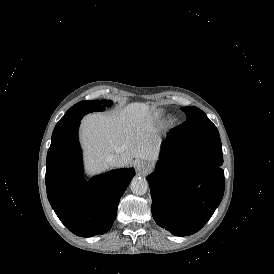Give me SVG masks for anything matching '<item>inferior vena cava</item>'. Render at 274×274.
I'll list each match as a JSON object with an SVG mask.
<instances>
[{
  "instance_id": "1",
  "label": "inferior vena cava",
  "mask_w": 274,
  "mask_h": 274,
  "mask_svg": "<svg viewBox=\"0 0 274 274\" xmlns=\"http://www.w3.org/2000/svg\"><path fill=\"white\" fill-rule=\"evenodd\" d=\"M106 162L110 165V166H118L119 165V158L118 155L115 153L112 154H108L106 156Z\"/></svg>"
}]
</instances>
